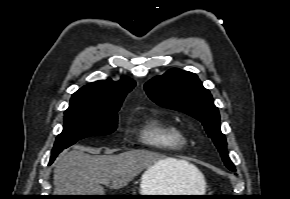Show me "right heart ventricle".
<instances>
[{
    "label": "right heart ventricle",
    "mask_w": 290,
    "mask_h": 199,
    "mask_svg": "<svg viewBox=\"0 0 290 199\" xmlns=\"http://www.w3.org/2000/svg\"><path fill=\"white\" fill-rule=\"evenodd\" d=\"M133 126L138 130L140 138L149 146L177 150L187 144V138L175 124L155 116H146Z\"/></svg>",
    "instance_id": "right-heart-ventricle-1"
}]
</instances>
